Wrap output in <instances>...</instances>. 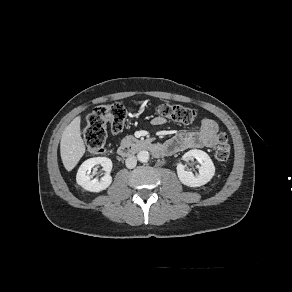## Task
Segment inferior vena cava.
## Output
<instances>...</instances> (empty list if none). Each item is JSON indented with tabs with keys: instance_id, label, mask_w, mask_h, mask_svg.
<instances>
[{
	"instance_id": "1",
	"label": "inferior vena cava",
	"mask_w": 292,
	"mask_h": 292,
	"mask_svg": "<svg viewBox=\"0 0 292 292\" xmlns=\"http://www.w3.org/2000/svg\"><path fill=\"white\" fill-rule=\"evenodd\" d=\"M125 163L127 168L132 169L137 165V158L135 156H130L126 159Z\"/></svg>"
}]
</instances>
